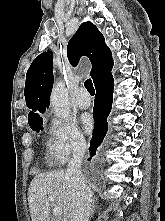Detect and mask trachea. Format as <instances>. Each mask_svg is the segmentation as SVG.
Returning a JSON list of instances; mask_svg holds the SVG:
<instances>
[{
    "label": "trachea",
    "instance_id": "trachea-1",
    "mask_svg": "<svg viewBox=\"0 0 165 221\" xmlns=\"http://www.w3.org/2000/svg\"><path fill=\"white\" fill-rule=\"evenodd\" d=\"M84 86H85V88L87 89V91H88L91 95H94V94H95V89H94V86H93V83H92V80H91V79H87V80L84 82Z\"/></svg>",
    "mask_w": 165,
    "mask_h": 221
}]
</instances>
